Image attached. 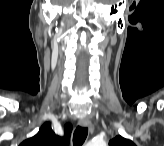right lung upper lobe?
<instances>
[{"label":"right lung upper lobe","mask_w":164,"mask_h":146,"mask_svg":"<svg viewBox=\"0 0 164 146\" xmlns=\"http://www.w3.org/2000/svg\"><path fill=\"white\" fill-rule=\"evenodd\" d=\"M70 132L71 126L67 124L65 126V136L59 137L51 129V124L46 122L35 136L22 142L20 146H67Z\"/></svg>","instance_id":"obj_1"}]
</instances>
